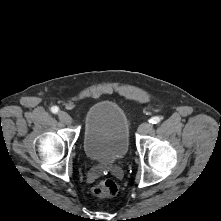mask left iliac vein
<instances>
[{
  "label": "left iliac vein",
  "mask_w": 221,
  "mask_h": 221,
  "mask_svg": "<svg viewBox=\"0 0 221 221\" xmlns=\"http://www.w3.org/2000/svg\"><path fill=\"white\" fill-rule=\"evenodd\" d=\"M152 129V124L150 123H143L139 126L138 128V132L143 134V133H146L148 131H150Z\"/></svg>",
  "instance_id": "4c4485c4"
}]
</instances>
